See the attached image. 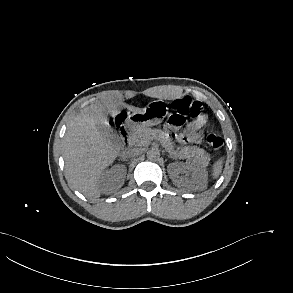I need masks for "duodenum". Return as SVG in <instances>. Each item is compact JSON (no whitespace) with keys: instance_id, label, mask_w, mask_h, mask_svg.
Wrapping results in <instances>:
<instances>
[{"instance_id":"410a0bca","label":"duodenum","mask_w":293,"mask_h":293,"mask_svg":"<svg viewBox=\"0 0 293 293\" xmlns=\"http://www.w3.org/2000/svg\"><path fill=\"white\" fill-rule=\"evenodd\" d=\"M131 132H132L131 125H126L120 129V137H121L122 142L124 143L125 147H127L130 144Z\"/></svg>"}]
</instances>
